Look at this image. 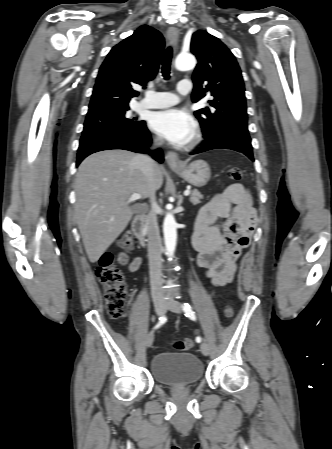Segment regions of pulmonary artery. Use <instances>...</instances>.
<instances>
[{
  "label": "pulmonary artery",
  "instance_id": "pulmonary-artery-1",
  "mask_svg": "<svg viewBox=\"0 0 332 449\" xmlns=\"http://www.w3.org/2000/svg\"><path fill=\"white\" fill-rule=\"evenodd\" d=\"M177 92L186 95L191 91L188 80H182L177 84ZM178 97L172 92H150L140 101V106L144 108H165L178 103Z\"/></svg>",
  "mask_w": 332,
  "mask_h": 449
}]
</instances>
